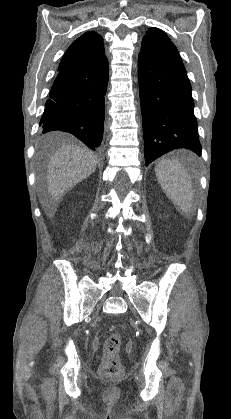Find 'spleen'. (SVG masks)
<instances>
[{
  "label": "spleen",
  "instance_id": "spleen-1",
  "mask_svg": "<svg viewBox=\"0 0 231 419\" xmlns=\"http://www.w3.org/2000/svg\"><path fill=\"white\" fill-rule=\"evenodd\" d=\"M155 173L168 198L181 212L189 213L193 205V185L183 165L176 160L162 159L156 164Z\"/></svg>",
  "mask_w": 231,
  "mask_h": 419
}]
</instances>
